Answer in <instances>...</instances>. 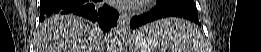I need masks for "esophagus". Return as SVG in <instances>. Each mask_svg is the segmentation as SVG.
Listing matches in <instances>:
<instances>
[{
    "label": "esophagus",
    "instance_id": "34e87169",
    "mask_svg": "<svg viewBox=\"0 0 261 52\" xmlns=\"http://www.w3.org/2000/svg\"><path fill=\"white\" fill-rule=\"evenodd\" d=\"M129 20H130V16L126 12H122L119 19L120 25L127 27L129 24Z\"/></svg>",
    "mask_w": 261,
    "mask_h": 52
}]
</instances>
